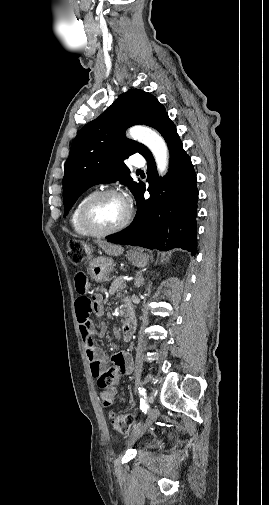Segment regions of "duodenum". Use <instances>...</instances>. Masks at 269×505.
<instances>
[{
  "instance_id": "410a0bca",
  "label": "duodenum",
  "mask_w": 269,
  "mask_h": 505,
  "mask_svg": "<svg viewBox=\"0 0 269 505\" xmlns=\"http://www.w3.org/2000/svg\"><path fill=\"white\" fill-rule=\"evenodd\" d=\"M136 319L135 314L132 310L131 304L126 302L125 314L122 320V339L124 341H129L135 331Z\"/></svg>"
}]
</instances>
